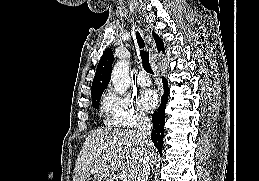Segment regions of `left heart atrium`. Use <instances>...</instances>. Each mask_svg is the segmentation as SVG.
<instances>
[{
    "mask_svg": "<svg viewBox=\"0 0 259 181\" xmlns=\"http://www.w3.org/2000/svg\"><path fill=\"white\" fill-rule=\"evenodd\" d=\"M139 105L146 111H151L158 103V96L153 90H146L138 97Z\"/></svg>",
    "mask_w": 259,
    "mask_h": 181,
    "instance_id": "1",
    "label": "left heart atrium"
}]
</instances>
